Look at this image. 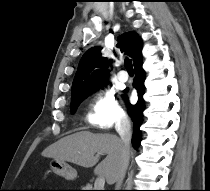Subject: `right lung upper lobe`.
<instances>
[{
	"label": "right lung upper lobe",
	"mask_w": 210,
	"mask_h": 191,
	"mask_svg": "<svg viewBox=\"0 0 210 191\" xmlns=\"http://www.w3.org/2000/svg\"><path fill=\"white\" fill-rule=\"evenodd\" d=\"M117 47L135 61L142 50V42L135 32H128L118 37ZM101 49L92 47L82 56L72 84L71 99L107 84L110 62L102 57Z\"/></svg>",
	"instance_id": "cb5924a9"
}]
</instances>
